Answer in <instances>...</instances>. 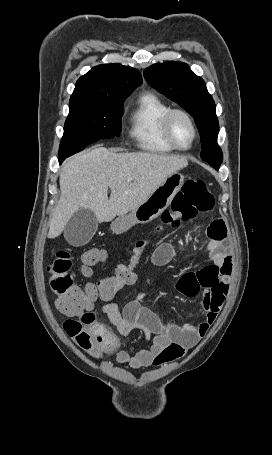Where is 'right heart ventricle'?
Masks as SVG:
<instances>
[{"instance_id": "1", "label": "right heart ventricle", "mask_w": 272, "mask_h": 455, "mask_svg": "<svg viewBox=\"0 0 272 455\" xmlns=\"http://www.w3.org/2000/svg\"><path fill=\"white\" fill-rule=\"evenodd\" d=\"M170 107L157 95L144 93L130 114L129 135L138 149L168 154L174 149L165 141L162 133V119Z\"/></svg>"}]
</instances>
